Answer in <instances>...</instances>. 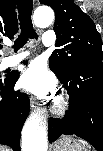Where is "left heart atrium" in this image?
<instances>
[{
    "mask_svg": "<svg viewBox=\"0 0 103 151\" xmlns=\"http://www.w3.org/2000/svg\"><path fill=\"white\" fill-rule=\"evenodd\" d=\"M19 83L24 90L41 98L50 95L55 88L54 77L41 61L29 65L22 72Z\"/></svg>",
    "mask_w": 103,
    "mask_h": 151,
    "instance_id": "39dd6f15",
    "label": "left heart atrium"
}]
</instances>
